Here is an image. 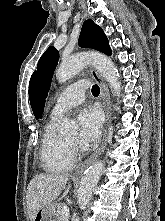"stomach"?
<instances>
[{
  "instance_id": "1",
  "label": "stomach",
  "mask_w": 165,
  "mask_h": 221,
  "mask_svg": "<svg viewBox=\"0 0 165 221\" xmlns=\"http://www.w3.org/2000/svg\"><path fill=\"white\" fill-rule=\"evenodd\" d=\"M34 221H57L55 215V205L48 204L40 209L37 212Z\"/></svg>"
}]
</instances>
